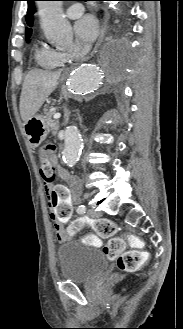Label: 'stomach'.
Returning <instances> with one entry per match:
<instances>
[{"mask_svg":"<svg viewBox=\"0 0 183 329\" xmlns=\"http://www.w3.org/2000/svg\"><path fill=\"white\" fill-rule=\"evenodd\" d=\"M24 132L32 148H37L46 139L48 128L46 118L42 115L35 114L23 124Z\"/></svg>","mask_w":183,"mask_h":329,"instance_id":"1","label":"stomach"}]
</instances>
